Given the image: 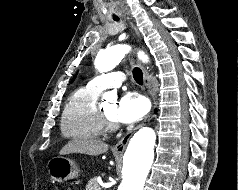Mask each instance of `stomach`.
<instances>
[{
    "label": "stomach",
    "mask_w": 238,
    "mask_h": 190,
    "mask_svg": "<svg viewBox=\"0 0 238 190\" xmlns=\"http://www.w3.org/2000/svg\"><path fill=\"white\" fill-rule=\"evenodd\" d=\"M47 168L51 178L57 182L77 178L80 172L73 160L62 156L52 158L48 162Z\"/></svg>",
    "instance_id": "stomach-1"
}]
</instances>
